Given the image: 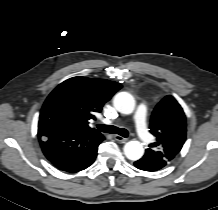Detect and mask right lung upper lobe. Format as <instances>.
I'll return each mask as SVG.
<instances>
[{
  "instance_id": "1",
  "label": "right lung upper lobe",
  "mask_w": 218,
  "mask_h": 210,
  "mask_svg": "<svg viewBox=\"0 0 218 210\" xmlns=\"http://www.w3.org/2000/svg\"><path fill=\"white\" fill-rule=\"evenodd\" d=\"M121 84L96 78L73 77L59 84L45 103L61 108L68 117V129L82 133H99L88 126L94 114L121 88Z\"/></svg>"
}]
</instances>
